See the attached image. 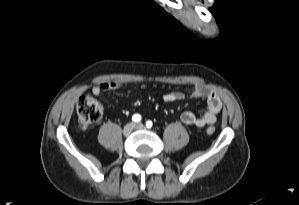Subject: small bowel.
<instances>
[{"label": "small bowel", "mask_w": 299, "mask_h": 205, "mask_svg": "<svg viewBox=\"0 0 299 205\" xmlns=\"http://www.w3.org/2000/svg\"><path fill=\"white\" fill-rule=\"evenodd\" d=\"M123 86L121 82L104 81L92 88V95L99 96L102 92L119 89ZM184 94L179 91H172L163 95L165 102H175L183 99ZM192 97L196 99H205L207 109L202 115H196L191 111H185L181 115V121L188 126L202 128L206 125L216 122L222 109L220 97L213 91H210L202 84H196L192 91Z\"/></svg>", "instance_id": "c3829d8e"}]
</instances>
